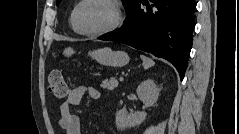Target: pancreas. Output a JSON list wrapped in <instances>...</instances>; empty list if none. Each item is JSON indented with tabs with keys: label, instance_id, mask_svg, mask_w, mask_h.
Instances as JSON below:
<instances>
[{
	"label": "pancreas",
	"instance_id": "pancreas-1",
	"mask_svg": "<svg viewBox=\"0 0 239 134\" xmlns=\"http://www.w3.org/2000/svg\"><path fill=\"white\" fill-rule=\"evenodd\" d=\"M118 81L116 78L112 77L109 80H103L101 83V87L107 90H114L118 86Z\"/></svg>",
	"mask_w": 239,
	"mask_h": 134
}]
</instances>
